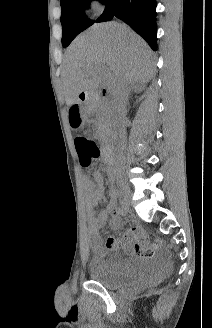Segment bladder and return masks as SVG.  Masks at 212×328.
Returning a JSON list of instances; mask_svg holds the SVG:
<instances>
[{
    "mask_svg": "<svg viewBox=\"0 0 212 328\" xmlns=\"http://www.w3.org/2000/svg\"><path fill=\"white\" fill-rule=\"evenodd\" d=\"M90 278L108 289H119L139 283L143 277L142 262H132L126 270L113 260L93 259L89 263Z\"/></svg>",
    "mask_w": 212,
    "mask_h": 328,
    "instance_id": "obj_1",
    "label": "bladder"
}]
</instances>
